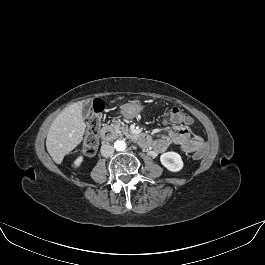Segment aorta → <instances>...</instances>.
Segmentation results:
<instances>
[{"instance_id": "aorta-1", "label": "aorta", "mask_w": 265, "mask_h": 265, "mask_svg": "<svg viewBox=\"0 0 265 265\" xmlns=\"http://www.w3.org/2000/svg\"><path fill=\"white\" fill-rule=\"evenodd\" d=\"M114 148L117 151H124L126 149V143L123 140H117L114 142Z\"/></svg>"}]
</instances>
